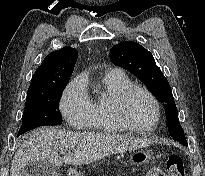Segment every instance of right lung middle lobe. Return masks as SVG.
<instances>
[{"instance_id": "obj_1", "label": "right lung middle lobe", "mask_w": 205, "mask_h": 176, "mask_svg": "<svg viewBox=\"0 0 205 176\" xmlns=\"http://www.w3.org/2000/svg\"><path fill=\"white\" fill-rule=\"evenodd\" d=\"M66 84L46 92L27 96L18 136L40 126L60 125L59 100Z\"/></svg>"}]
</instances>
